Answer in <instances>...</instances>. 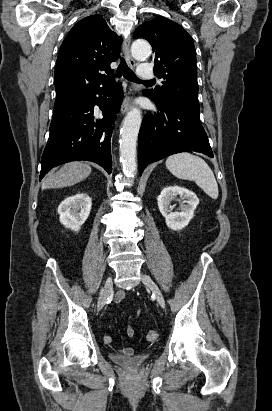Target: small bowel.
Listing matches in <instances>:
<instances>
[{
	"label": "small bowel",
	"mask_w": 272,
	"mask_h": 411,
	"mask_svg": "<svg viewBox=\"0 0 272 411\" xmlns=\"http://www.w3.org/2000/svg\"><path fill=\"white\" fill-rule=\"evenodd\" d=\"M126 297V293L125 291L121 290L118 291L117 294L115 295V302L116 303H122L124 301ZM139 310L136 312V314L134 315L132 312L128 313V317H127V326H126V334L129 337H133L135 335V329L133 327V321L135 319V317L139 316ZM111 337L109 335H106L104 337V341L106 343H110L111 342ZM121 353L124 355H131L133 354V349L131 348H123L121 349Z\"/></svg>",
	"instance_id": "1"
}]
</instances>
